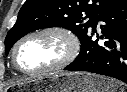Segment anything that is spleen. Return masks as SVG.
<instances>
[{
	"instance_id": "spleen-1",
	"label": "spleen",
	"mask_w": 127,
	"mask_h": 92,
	"mask_svg": "<svg viewBox=\"0 0 127 92\" xmlns=\"http://www.w3.org/2000/svg\"><path fill=\"white\" fill-rule=\"evenodd\" d=\"M120 92H124V89H123V88H121V89H120Z\"/></svg>"
}]
</instances>
